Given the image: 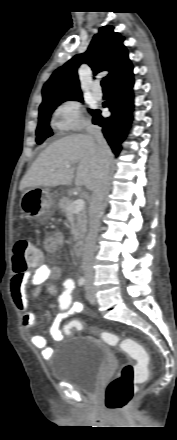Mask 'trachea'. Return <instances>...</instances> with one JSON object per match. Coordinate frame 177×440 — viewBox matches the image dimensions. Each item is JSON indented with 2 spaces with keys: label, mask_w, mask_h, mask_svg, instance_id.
<instances>
[{
  "label": "trachea",
  "mask_w": 177,
  "mask_h": 440,
  "mask_svg": "<svg viewBox=\"0 0 177 440\" xmlns=\"http://www.w3.org/2000/svg\"><path fill=\"white\" fill-rule=\"evenodd\" d=\"M101 86H102L104 91H108L109 90L108 86H107V84H106V82L104 80L101 81Z\"/></svg>",
  "instance_id": "trachea-1"
}]
</instances>
